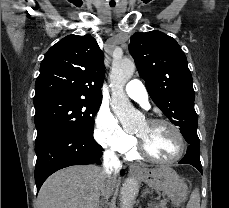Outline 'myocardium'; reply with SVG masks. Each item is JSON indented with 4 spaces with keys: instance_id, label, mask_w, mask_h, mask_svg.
I'll return each instance as SVG.
<instances>
[{
    "instance_id": "1",
    "label": "myocardium",
    "mask_w": 229,
    "mask_h": 208,
    "mask_svg": "<svg viewBox=\"0 0 229 208\" xmlns=\"http://www.w3.org/2000/svg\"><path fill=\"white\" fill-rule=\"evenodd\" d=\"M146 123L151 124V125H167L171 127L172 129H174V130H170V135H174L173 137H174V142L176 143V146L184 147V149L179 155L171 158V160H158V157H150V152H146V139L137 135L139 139V142H137V147H141V148H137V153H144L152 161L157 162V163H162V164L174 163V162L181 160L184 157V155L189 150L190 142H189L187 135L178 125H176L175 123L169 120L160 119V118H150L146 121Z\"/></svg>"
}]
</instances>
